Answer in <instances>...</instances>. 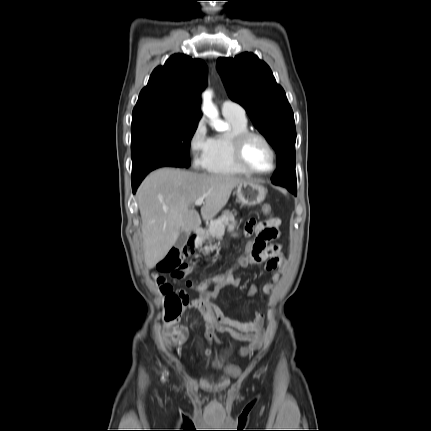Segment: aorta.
<instances>
[{"instance_id": "1", "label": "aorta", "mask_w": 431, "mask_h": 431, "mask_svg": "<svg viewBox=\"0 0 431 431\" xmlns=\"http://www.w3.org/2000/svg\"><path fill=\"white\" fill-rule=\"evenodd\" d=\"M203 112L209 116L213 121H214V127L221 131L224 130L226 128L225 124L218 120V113L217 110L214 108V106L212 105L211 102V92L206 91L203 94Z\"/></svg>"}]
</instances>
